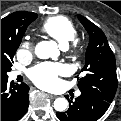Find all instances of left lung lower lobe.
Here are the masks:
<instances>
[{
  "label": "left lung lower lobe",
  "instance_id": "obj_1",
  "mask_svg": "<svg viewBox=\"0 0 121 121\" xmlns=\"http://www.w3.org/2000/svg\"><path fill=\"white\" fill-rule=\"evenodd\" d=\"M106 102L90 94L81 93L75 101H70L67 112H57L60 121H97L108 109Z\"/></svg>",
  "mask_w": 121,
  "mask_h": 121
}]
</instances>
